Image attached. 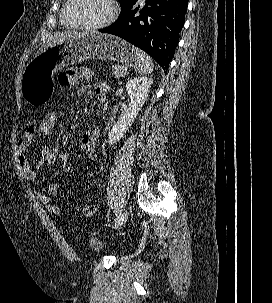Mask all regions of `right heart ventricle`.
<instances>
[{
    "label": "right heart ventricle",
    "instance_id": "obj_1",
    "mask_svg": "<svg viewBox=\"0 0 272 303\" xmlns=\"http://www.w3.org/2000/svg\"><path fill=\"white\" fill-rule=\"evenodd\" d=\"M61 23H62V25H63L64 27H68V25L64 22L63 18H62Z\"/></svg>",
    "mask_w": 272,
    "mask_h": 303
}]
</instances>
